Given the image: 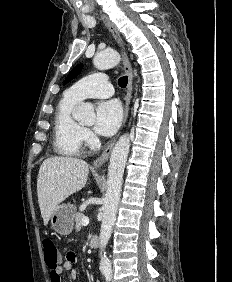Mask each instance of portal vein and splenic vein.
Masks as SVG:
<instances>
[{"label":"portal vein and splenic vein","instance_id":"1","mask_svg":"<svg viewBox=\"0 0 232 282\" xmlns=\"http://www.w3.org/2000/svg\"><path fill=\"white\" fill-rule=\"evenodd\" d=\"M82 225H84V226H86V225H88L89 224V219H88V217H83V219H82Z\"/></svg>","mask_w":232,"mask_h":282}]
</instances>
